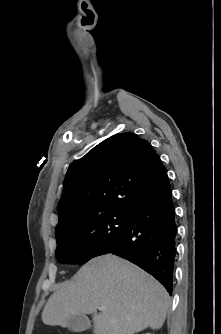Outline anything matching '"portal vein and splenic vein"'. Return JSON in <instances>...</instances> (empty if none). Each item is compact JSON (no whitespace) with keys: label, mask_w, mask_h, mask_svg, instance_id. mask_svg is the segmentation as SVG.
Segmentation results:
<instances>
[{"label":"portal vein and splenic vein","mask_w":221,"mask_h":334,"mask_svg":"<svg viewBox=\"0 0 221 334\" xmlns=\"http://www.w3.org/2000/svg\"><path fill=\"white\" fill-rule=\"evenodd\" d=\"M99 310H100V311H104V310H105V308H104V307H101V308H99Z\"/></svg>","instance_id":"portal-vein-and-splenic-vein-1"}]
</instances>
